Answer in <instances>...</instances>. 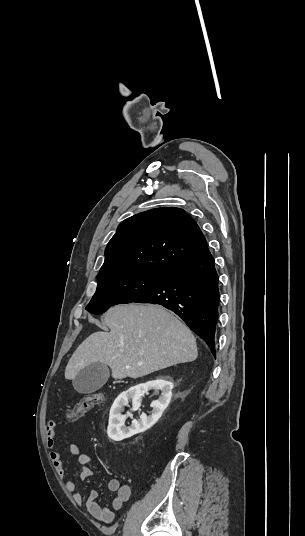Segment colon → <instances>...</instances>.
Here are the masks:
<instances>
[{
  "label": "colon",
  "mask_w": 305,
  "mask_h": 536,
  "mask_svg": "<svg viewBox=\"0 0 305 536\" xmlns=\"http://www.w3.org/2000/svg\"><path fill=\"white\" fill-rule=\"evenodd\" d=\"M104 396L101 392L86 394L81 399L77 400L75 404L69 408L67 417L70 421L74 422L83 417L94 406L103 403Z\"/></svg>",
  "instance_id": "1"
}]
</instances>
